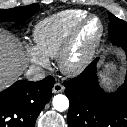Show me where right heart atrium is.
I'll return each mask as SVG.
<instances>
[{"mask_svg": "<svg viewBox=\"0 0 127 127\" xmlns=\"http://www.w3.org/2000/svg\"><path fill=\"white\" fill-rule=\"evenodd\" d=\"M27 59L36 67H47L49 60L36 48V46L27 44L24 47Z\"/></svg>", "mask_w": 127, "mask_h": 127, "instance_id": "right-heart-atrium-1", "label": "right heart atrium"}]
</instances>
